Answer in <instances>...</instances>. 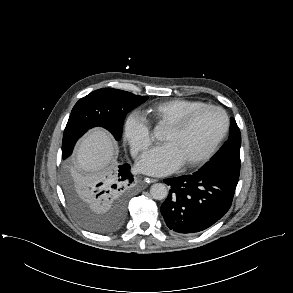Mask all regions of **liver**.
<instances>
[{
  "label": "liver",
  "mask_w": 293,
  "mask_h": 293,
  "mask_svg": "<svg viewBox=\"0 0 293 293\" xmlns=\"http://www.w3.org/2000/svg\"><path fill=\"white\" fill-rule=\"evenodd\" d=\"M116 145L110 135L102 129H94L79 143L76 160L78 169L92 175L102 173L115 159Z\"/></svg>",
  "instance_id": "6515ba94"
}]
</instances>
